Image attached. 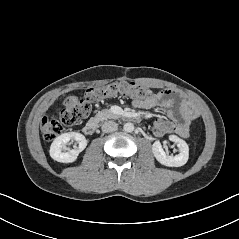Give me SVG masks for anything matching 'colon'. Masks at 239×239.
<instances>
[{
  "mask_svg": "<svg viewBox=\"0 0 239 239\" xmlns=\"http://www.w3.org/2000/svg\"><path fill=\"white\" fill-rule=\"evenodd\" d=\"M117 95L130 96L139 99H152L154 94L135 82H114L102 87L88 89L85 97L79 98L75 95L68 96L57 117L44 116L41 122V129L46 140H52L70 127L88 116L92 103L100 100L115 97ZM169 121L159 117L153 121L152 131L158 137H165L168 134Z\"/></svg>",
  "mask_w": 239,
  "mask_h": 239,
  "instance_id": "colon-1",
  "label": "colon"
}]
</instances>
